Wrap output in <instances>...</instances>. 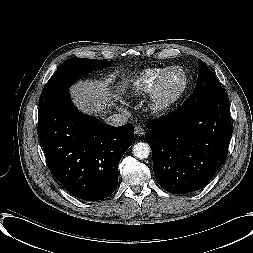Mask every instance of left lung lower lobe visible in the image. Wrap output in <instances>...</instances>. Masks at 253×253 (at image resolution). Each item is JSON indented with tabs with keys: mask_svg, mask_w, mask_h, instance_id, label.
I'll use <instances>...</instances> for the list:
<instances>
[{
	"mask_svg": "<svg viewBox=\"0 0 253 253\" xmlns=\"http://www.w3.org/2000/svg\"><path fill=\"white\" fill-rule=\"evenodd\" d=\"M147 127L145 139L152 149L159 185L173 194L199 190L226 160L231 135L226 93L218 92L204 103L189 97Z\"/></svg>",
	"mask_w": 253,
	"mask_h": 253,
	"instance_id": "1",
	"label": "left lung lower lobe"
}]
</instances>
